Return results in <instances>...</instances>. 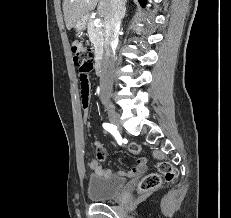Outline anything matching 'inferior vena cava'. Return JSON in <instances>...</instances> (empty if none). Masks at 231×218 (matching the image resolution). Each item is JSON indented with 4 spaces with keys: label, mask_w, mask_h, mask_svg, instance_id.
<instances>
[{
    "label": "inferior vena cava",
    "mask_w": 231,
    "mask_h": 218,
    "mask_svg": "<svg viewBox=\"0 0 231 218\" xmlns=\"http://www.w3.org/2000/svg\"><path fill=\"white\" fill-rule=\"evenodd\" d=\"M125 2L126 0H110V9L105 17L104 56L100 75L102 99H108L111 95L115 64V48L118 43L121 19L125 12Z\"/></svg>",
    "instance_id": "602c4592"
}]
</instances>
